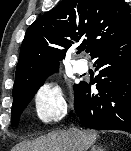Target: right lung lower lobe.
Instances as JSON below:
<instances>
[{
	"instance_id": "1",
	"label": "right lung lower lobe",
	"mask_w": 131,
	"mask_h": 151,
	"mask_svg": "<svg viewBox=\"0 0 131 151\" xmlns=\"http://www.w3.org/2000/svg\"><path fill=\"white\" fill-rule=\"evenodd\" d=\"M97 93L85 81L75 86L74 109L89 128L131 133V32L98 48Z\"/></svg>"
}]
</instances>
